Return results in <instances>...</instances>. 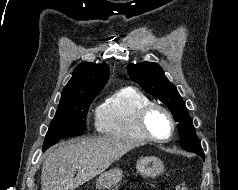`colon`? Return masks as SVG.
<instances>
[{"label":"colon","mask_w":238,"mask_h":190,"mask_svg":"<svg viewBox=\"0 0 238 190\" xmlns=\"http://www.w3.org/2000/svg\"><path fill=\"white\" fill-rule=\"evenodd\" d=\"M176 190H185V188L182 185H180L176 188Z\"/></svg>","instance_id":"1"}]
</instances>
